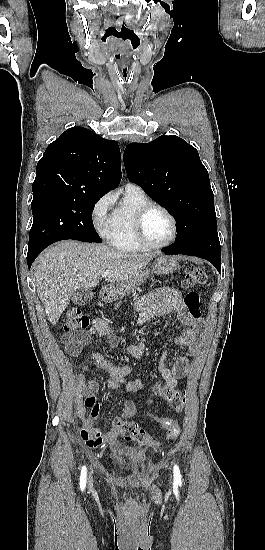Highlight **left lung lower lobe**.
<instances>
[{"label":"left lung lower lobe","mask_w":265,"mask_h":550,"mask_svg":"<svg viewBox=\"0 0 265 550\" xmlns=\"http://www.w3.org/2000/svg\"><path fill=\"white\" fill-rule=\"evenodd\" d=\"M162 251L167 255H173V254L194 255V256L206 259V260L210 261L216 267V269L220 272L221 257L215 255L214 253H209V252H186V251L179 250L174 245L163 248Z\"/></svg>","instance_id":"1"}]
</instances>
